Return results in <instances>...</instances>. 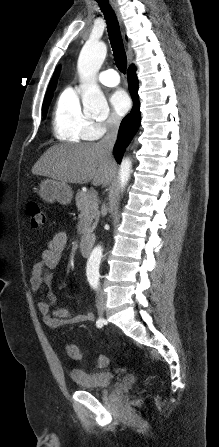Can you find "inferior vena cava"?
<instances>
[{
    "mask_svg": "<svg viewBox=\"0 0 219 447\" xmlns=\"http://www.w3.org/2000/svg\"><path fill=\"white\" fill-rule=\"evenodd\" d=\"M119 124H120V118L116 116L113 117L108 127L106 135L99 142L100 146L103 147L105 153L111 158H112L113 147L117 139ZM101 296L102 295H100V297Z\"/></svg>",
    "mask_w": 219,
    "mask_h": 447,
    "instance_id": "inferior-vena-cava-1",
    "label": "inferior vena cava"
}]
</instances>
